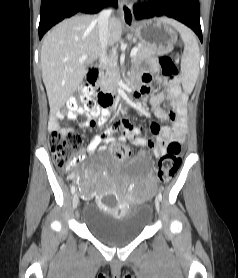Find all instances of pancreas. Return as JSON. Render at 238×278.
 <instances>
[{
	"instance_id": "pancreas-1",
	"label": "pancreas",
	"mask_w": 238,
	"mask_h": 278,
	"mask_svg": "<svg viewBox=\"0 0 238 278\" xmlns=\"http://www.w3.org/2000/svg\"><path fill=\"white\" fill-rule=\"evenodd\" d=\"M169 50H158L151 45L141 44L138 47L137 54L133 57L132 62L138 63L143 59L152 55H162ZM120 81V75L117 69L107 67L105 73H101L98 80V85L105 91H113L117 88Z\"/></svg>"
}]
</instances>
